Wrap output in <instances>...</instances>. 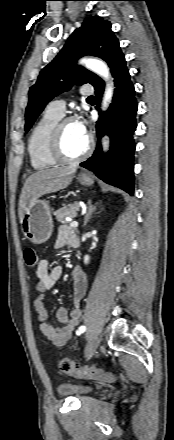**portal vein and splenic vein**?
Here are the masks:
<instances>
[{"mask_svg": "<svg viewBox=\"0 0 174 440\" xmlns=\"http://www.w3.org/2000/svg\"><path fill=\"white\" fill-rule=\"evenodd\" d=\"M71 227H78L79 223L77 221H72L69 224Z\"/></svg>", "mask_w": 174, "mask_h": 440, "instance_id": "1", "label": "portal vein and splenic vein"}]
</instances>
